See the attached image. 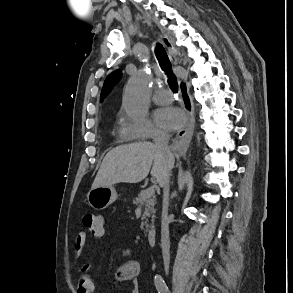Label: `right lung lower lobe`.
Segmentation results:
<instances>
[{
  "mask_svg": "<svg viewBox=\"0 0 293 293\" xmlns=\"http://www.w3.org/2000/svg\"><path fill=\"white\" fill-rule=\"evenodd\" d=\"M182 93H183V98H184V101H185V105L188 109H190V100L188 98V95L186 93V87L185 85H183L182 87Z\"/></svg>",
  "mask_w": 293,
  "mask_h": 293,
  "instance_id": "obj_1",
  "label": "right lung lower lobe"
}]
</instances>
